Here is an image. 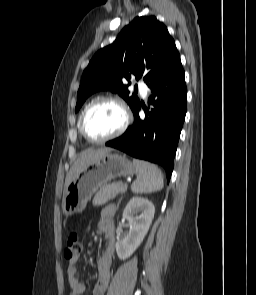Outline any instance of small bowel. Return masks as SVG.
<instances>
[{
  "label": "small bowel",
  "instance_id": "1",
  "mask_svg": "<svg viewBox=\"0 0 256 295\" xmlns=\"http://www.w3.org/2000/svg\"><path fill=\"white\" fill-rule=\"evenodd\" d=\"M114 213L115 209L112 206L104 208L101 212L99 228L106 236V246L98 261V280L92 295H104L111 280V263L115 246ZM77 261L78 257L70 260L67 267L70 295H83L86 290L85 284L77 276Z\"/></svg>",
  "mask_w": 256,
  "mask_h": 295
}]
</instances>
